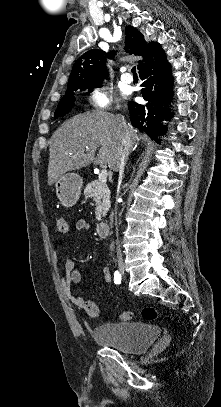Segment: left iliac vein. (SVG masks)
<instances>
[{
  "label": "left iliac vein",
  "mask_w": 221,
  "mask_h": 407,
  "mask_svg": "<svg viewBox=\"0 0 221 407\" xmlns=\"http://www.w3.org/2000/svg\"><path fill=\"white\" fill-rule=\"evenodd\" d=\"M122 273H124V267H123Z\"/></svg>",
  "instance_id": "1"
}]
</instances>
